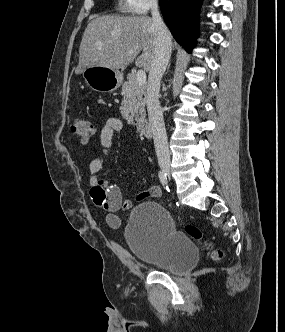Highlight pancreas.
I'll use <instances>...</instances> for the list:
<instances>
[{"mask_svg":"<svg viewBox=\"0 0 285 332\" xmlns=\"http://www.w3.org/2000/svg\"><path fill=\"white\" fill-rule=\"evenodd\" d=\"M127 79L128 81L122 85L124 98L120 110L128 122L141 126L146 122V99L144 98L146 86L138 84L136 74L130 73Z\"/></svg>","mask_w":285,"mask_h":332,"instance_id":"cf45deb5","label":"pancreas"}]
</instances>
